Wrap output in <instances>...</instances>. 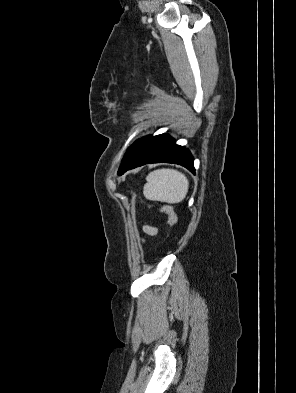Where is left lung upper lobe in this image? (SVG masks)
Listing matches in <instances>:
<instances>
[{"mask_svg":"<svg viewBox=\"0 0 296 393\" xmlns=\"http://www.w3.org/2000/svg\"><path fill=\"white\" fill-rule=\"evenodd\" d=\"M136 143H137V141L128 148V150H127V152H126V154H125V156H124V158L122 160V163H121V166L119 168L118 173L123 169V167H124L128 157H129L130 153L132 152L133 148L135 147Z\"/></svg>","mask_w":296,"mask_h":393,"instance_id":"left-lung-upper-lobe-1","label":"left lung upper lobe"}]
</instances>
